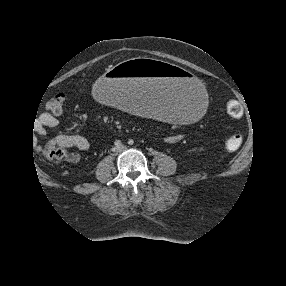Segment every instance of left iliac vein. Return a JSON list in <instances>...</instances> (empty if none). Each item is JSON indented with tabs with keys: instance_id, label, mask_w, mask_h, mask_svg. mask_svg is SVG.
<instances>
[{
	"instance_id": "4c4485c4",
	"label": "left iliac vein",
	"mask_w": 286,
	"mask_h": 286,
	"mask_svg": "<svg viewBox=\"0 0 286 286\" xmlns=\"http://www.w3.org/2000/svg\"><path fill=\"white\" fill-rule=\"evenodd\" d=\"M124 150H126V146H121V147L119 148V151H124Z\"/></svg>"
}]
</instances>
